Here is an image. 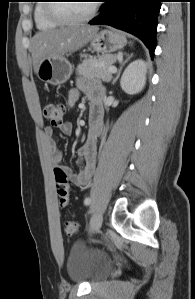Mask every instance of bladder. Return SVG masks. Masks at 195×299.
Wrapping results in <instances>:
<instances>
[{
  "instance_id": "obj_1",
  "label": "bladder",
  "mask_w": 195,
  "mask_h": 299,
  "mask_svg": "<svg viewBox=\"0 0 195 299\" xmlns=\"http://www.w3.org/2000/svg\"><path fill=\"white\" fill-rule=\"evenodd\" d=\"M110 270L106 255L98 250L75 243L67 259V272L74 282H91L104 278Z\"/></svg>"
}]
</instances>
